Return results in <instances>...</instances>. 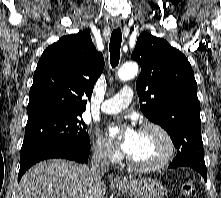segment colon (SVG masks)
Wrapping results in <instances>:
<instances>
[{
	"instance_id": "5ec220e1",
	"label": "colon",
	"mask_w": 221,
	"mask_h": 198,
	"mask_svg": "<svg viewBox=\"0 0 221 198\" xmlns=\"http://www.w3.org/2000/svg\"><path fill=\"white\" fill-rule=\"evenodd\" d=\"M185 198H194L196 196V185L193 180H186L181 187Z\"/></svg>"
}]
</instances>
